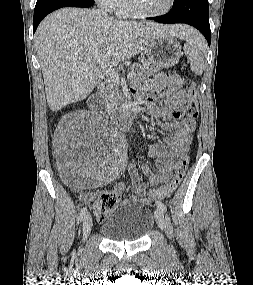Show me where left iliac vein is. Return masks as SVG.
Returning <instances> with one entry per match:
<instances>
[{
	"mask_svg": "<svg viewBox=\"0 0 253 285\" xmlns=\"http://www.w3.org/2000/svg\"><path fill=\"white\" fill-rule=\"evenodd\" d=\"M154 215H155L156 223L158 224L160 229L163 230L165 228L163 210H161L160 208L157 207L155 212H154Z\"/></svg>",
	"mask_w": 253,
	"mask_h": 285,
	"instance_id": "1",
	"label": "left iliac vein"
}]
</instances>
